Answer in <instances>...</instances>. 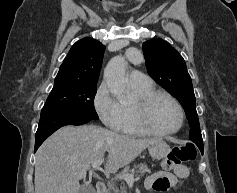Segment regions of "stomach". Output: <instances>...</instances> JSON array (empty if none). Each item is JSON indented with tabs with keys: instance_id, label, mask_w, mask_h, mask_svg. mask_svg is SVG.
Masks as SVG:
<instances>
[{
	"instance_id": "stomach-1",
	"label": "stomach",
	"mask_w": 237,
	"mask_h": 193,
	"mask_svg": "<svg viewBox=\"0 0 237 193\" xmlns=\"http://www.w3.org/2000/svg\"><path fill=\"white\" fill-rule=\"evenodd\" d=\"M148 151L151 157L159 160L165 158L168 155L170 152V147L165 141L158 140L148 147Z\"/></svg>"
}]
</instances>
